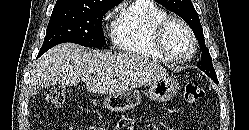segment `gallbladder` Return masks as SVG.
<instances>
[{
    "instance_id": "gallbladder-1",
    "label": "gallbladder",
    "mask_w": 249,
    "mask_h": 130,
    "mask_svg": "<svg viewBox=\"0 0 249 130\" xmlns=\"http://www.w3.org/2000/svg\"><path fill=\"white\" fill-rule=\"evenodd\" d=\"M38 91H39V89H38V88H32V89H31V95H35V94H37V93H38Z\"/></svg>"
}]
</instances>
